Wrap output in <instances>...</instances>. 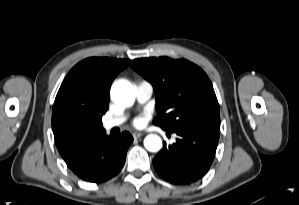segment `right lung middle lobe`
I'll return each instance as SVG.
<instances>
[{
    "instance_id": "1",
    "label": "right lung middle lobe",
    "mask_w": 299,
    "mask_h": 205,
    "mask_svg": "<svg viewBox=\"0 0 299 205\" xmlns=\"http://www.w3.org/2000/svg\"><path fill=\"white\" fill-rule=\"evenodd\" d=\"M77 130H78L79 132H84V131L86 130V128H85L84 126H79V127L77 128Z\"/></svg>"
}]
</instances>
